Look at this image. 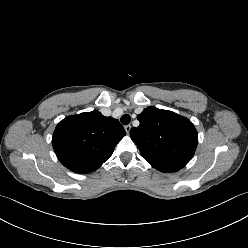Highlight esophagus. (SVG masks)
Listing matches in <instances>:
<instances>
[{
	"mask_svg": "<svg viewBox=\"0 0 248 248\" xmlns=\"http://www.w3.org/2000/svg\"><path fill=\"white\" fill-rule=\"evenodd\" d=\"M124 128H125L126 133L128 134L130 132L131 125H126Z\"/></svg>",
	"mask_w": 248,
	"mask_h": 248,
	"instance_id": "1",
	"label": "esophagus"
}]
</instances>
